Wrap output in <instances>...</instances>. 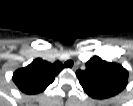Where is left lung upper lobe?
I'll return each instance as SVG.
<instances>
[{
	"mask_svg": "<svg viewBox=\"0 0 133 106\" xmlns=\"http://www.w3.org/2000/svg\"><path fill=\"white\" fill-rule=\"evenodd\" d=\"M76 75L84 91L96 99H105L121 92L128 82V71L120 64L109 63L93 56L84 71Z\"/></svg>",
	"mask_w": 133,
	"mask_h": 106,
	"instance_id": "1",
	"label": "left lung upper lobe"
}]
</instances>
